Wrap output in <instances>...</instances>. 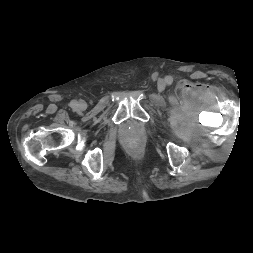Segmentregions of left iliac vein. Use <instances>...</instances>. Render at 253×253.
I'll use <instances>...</instances> for the list:
<instances>
[{"label":"left iliac vein","mask_w":253,"mask_h":253,"mask_svg":"<svg viewBox=\"0 0 253 253\" xmlns=\"http://www.w3.org/2000/svg\"><path fill=\"white\" fill-rule=\"evenodd\" d=\"M164 87H165V85H164L163 81H160L159 84H158V89L159 90H164Z\"/></svg>","instance_id":"1"}]
</instances>
